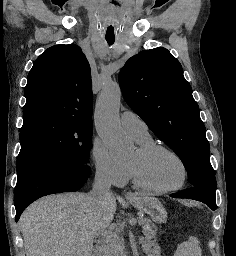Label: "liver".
Returning a JSON list of instances; mask_svg holds the SVG:
<instances>
[{"mask_svg":"<svg viewBox=\"0 0 236 256\" xmlns=\"http://www.w3.org/2000/svg\"><path fill=\"white\" fill-rule=\"evenodd\" d=\"M116 210L115 198L96 204L91 194L40 198L20 218L26 256H91Z\"/></svg>","mask_w":236,"mask_h":256,"instance_id":"obj_1","label":"liver"}]
</instances>
